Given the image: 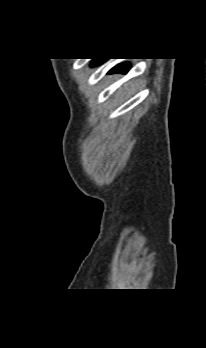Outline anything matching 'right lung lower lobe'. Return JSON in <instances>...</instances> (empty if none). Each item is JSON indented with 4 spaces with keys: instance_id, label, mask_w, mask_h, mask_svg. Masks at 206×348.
<instances>
[{
    "instance_id": "1",
    "label": "right lung lower lobe",
    "mask_w": 206,
    "mask_h": 348,
    "mask_svg": "<svg viewBox=\"0 0 206 348\" xmlns=\"http://www.w3.org/2000/svg\"><path fill=\"white\" fill-rule=\"evenodd\" d=\"M105 59H97L92 66L97 65L101 62H103ZM130 69V64L129 63H122L114 67L110 73H116V72H121V73H126Z\"/></svg>"
}]
</instances>
